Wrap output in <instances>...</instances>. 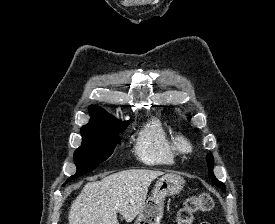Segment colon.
Wrapping results in <instances>:
<instances>
[{
  "label": "colon",
  "mask_w": 275,
  "mask_h": 224,
  "mask_svg": "<svg viewBox=\"0 0 275 224\" xmlns=\"http://www.w3.org/2000/svg\"><path fill=\"white\" fill-rule=\"evenodd\" d=\"M213 207V200L207 193H200L187 197L175 215L176 224H192L195 216L201 212H208Z\"/></svg>",
  "instance_id": "colon-1"
}]
</instances>
